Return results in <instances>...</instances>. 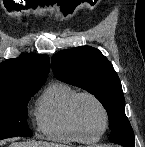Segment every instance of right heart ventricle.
Here are the masks:
<instances>
[{
  "label": "right heart ventricle",
  "mask_w": 145,
  "mask_h": 147,
  "mask_svg": "<svg viewBox=\"0 0 145 147\" xmlns=\"http://www.w3.org/2000/svg\"><path fill=\"white\" fill-rule=\"evenodd\" d=\"M78 91L62 81L50 83L35 105V121L38 131L48 139L61 142H90L79 133L70 117V105Z\"/></svg>",
  "instance_id": "obj_1"
}]
</instances>
